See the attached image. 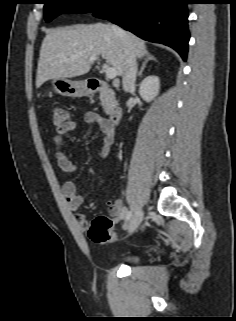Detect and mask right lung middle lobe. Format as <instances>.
<instances>
[{
    "instance_id": "right-lung-middle-lobe-1",
    "label": "right lung middle lobe",
    "mask_w": 236,
    "mask_h": 321,
    "mask_svg": "<svg viewBox=\"0 0 236 321\" xmlns=\"http://www.w3.org/2000/svg\"><path fill=\"white\" fill-rule=\"evenodd\" d=\"M110 0H45V20L51 21L62 13L95 12Z\"/></svg>"
}]
</instances>
